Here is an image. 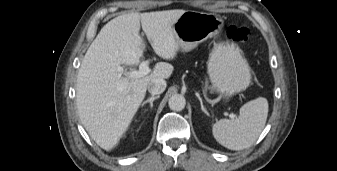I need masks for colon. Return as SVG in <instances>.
<instances>
[{
    "mask_svg": "<svg viewBox=\"0 0 337 171\" xmlns=\"http://www.w3.org/2000/svg\"><path fill=\"white\" fill-rule=\"evenodd\" d=\"M225 36L235 42H245L250 37V31L246 27L230 25L225 29Z\"/></svg>",
    "mask_w": 337,
    "mask_h": 171,
    "instance_id": "5ec220e1",
    "label": "colon"
}]
</instances>
